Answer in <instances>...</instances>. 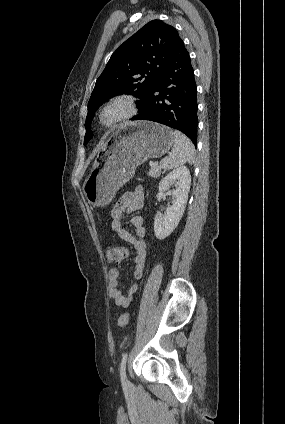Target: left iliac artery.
Instances as JSON below:
<instances>
[{
    "label": "left iliac artery",
    "mask_w": 285,
    "mask_h": 424,
    "mask_svg": "<svg viewBox=\"0 0 285 424\" xmlns=\"http://www.w3.org/2000/svg\"><path fill=\"white\" fill-rule=\"evenodd\" d=\"M126 361H127V353H125L123 355V358H122V361H121V364H120V376H121L122 381H124V382L126 381V371H125Z\"/></svg>",
    "instance_id": "left-iliac-artery-1"
}]
</instances>
